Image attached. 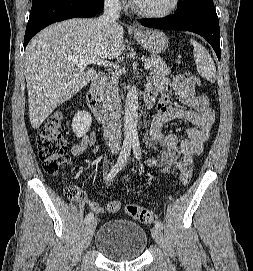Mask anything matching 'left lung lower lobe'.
Returning <instances> with one entry per match:
<instances>
[{
    "instance_id": "left-lung-lower-lobe-1",
    "label": "left lung lower lobe",
    "mask_w": 253,
    "mask_h": 271,
    "mask_svg": "<svg viewBox=\"0 0 253 271\" xmlns=\"http://www.w3.org/2000/svg\"><path fill=\"white\" fill-rule=\"evenodd\" d=\"M141 24L156 29L191 31L204 37L220 60V28L213 0H198L188 9H180L168 17L142 19Z\"/></svg>"
}]
</instances>
